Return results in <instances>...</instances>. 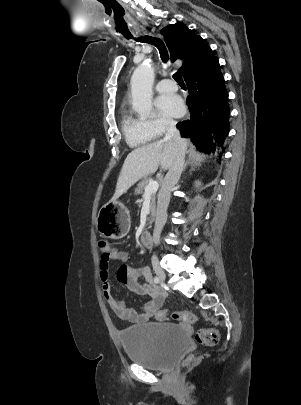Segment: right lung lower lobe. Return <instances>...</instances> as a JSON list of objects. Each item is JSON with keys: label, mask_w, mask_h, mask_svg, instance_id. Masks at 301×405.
Returning <instances> with one entry per match:
<instances>
[{"label": "right lung lower lobe", "mask_w": 301, "mask_h": 405, "mask_svg": "<svg viewBox=\"0 0 301 405\" xmlns=\"http://www.w3.org/2000/svg\"><path fill=\"white\" fill-rule=\"evenodd\" d=\"M184 79L189 90L187 105L191 116L179 122L177 128L182 136L190 137L193 144L205 152L225 149L223 143L229 133L230 109L217 58Z\"/></svg>", "instance_id": "1"}]
</instances>
